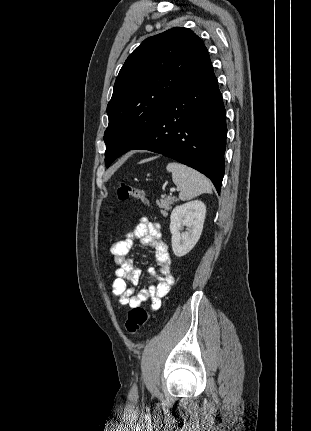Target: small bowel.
Masks as SVG:
<instances>
[{"instance_id": "c3829d8e", "label": "small bowel", "mask_w": 311, "mask_h": 431, "mask_svg": "<svg viewBox=\"0 0 311 431\" xmlns=\"http://www.w3.org/2000/svg\"><path fill=\"white\" fill-rule=\"evenodd\" d=\"M162 237L160 224L142 217L130 232L112 244L111 253L117 265L112 291L120 304L136 308L140 307L143 302L151 300V310L160 308L161 298L168 293L174 281L170 253ZM136 240L153 250L157 269L149 268V273L155 277L156 281L147 288H142L134 293L133 286L138 283L141 273L134 267V261L129 253Z\"/></svg>"}]
</instances>
